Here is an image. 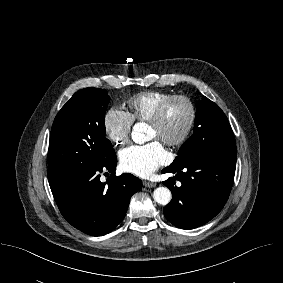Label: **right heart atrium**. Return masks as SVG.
<instances>
[{
  "instance_id": "obj_1",
  "label": "right heart atrium",
  "mask_w": 283,
  "mask_h": 283,
  "mask_svg": "<svg viewBox=\"0 0 283 283\" xmlns=\"http://www.w3.org/2000/svg\"><path fill=\"white\" fill-rule=\"evenodd\" d=\"M133 122L127 112L113 107L104 115L103 127L110 141L119 147L129 143Z\"/></svg>"
}]
</instances>
